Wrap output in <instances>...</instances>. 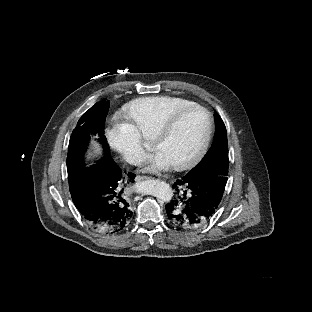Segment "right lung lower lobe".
I'll list each match as a JSON object with an SVG mask.
<instances>
[{
  "label": "right lung lower lobe",
  "mask_w": 312,
  "mask_h": 312,
  "mask_svg": "<svg viewBox=\"0 0 312 312\" xmlns=\"http://www.w3.org/2000/svg\"><path fill=\"white\" fill-rule=\"evenodd\" d=\"M134 177L132 173L124 177L112 157L73 174L70 193L82 218L101 233L125 231L133 212L124 187Z\"/></svg>",
  "instance_id": "1"
}]
</instances>
